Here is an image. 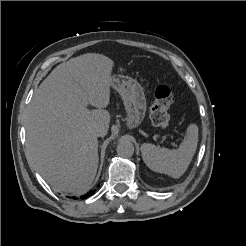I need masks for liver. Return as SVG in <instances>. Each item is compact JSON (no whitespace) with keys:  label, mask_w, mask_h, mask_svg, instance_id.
<instances>
[{"label":"liver","mask_w":246,"mask_h":246,"mask_svg":"<svg viewBox=\"0 0 246 246\" xmlns=\"http://www.w3.org/2000/svg\"><path fill=\"white\" fill-rule=\"evenodd\" d=\"M114 62L87 53L58 65L35 91L27 110L30 161L58 192L82 195L98 168L95 128L107 134ZM88 105L97 109L89 110Z\"/></svg>","instance_id":"6515ba94"}]
</instances>
